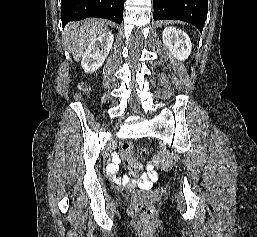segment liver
I'll use <instances>...</instances> for the list:
<instances>
[{
    "label": "liver",
    "instance_id": "1",
    "mask_svg": "<svg viewBox=\"0 0 257 237\" xmlns=\"http://www.w3.org/2000/svg\"><path fill=\"white\" fill-rule=\"evenodd\" d=\"M108 31L107 24L101 19H86L73 23L65 29L66 39L71 42V53L79 61L90 43Z\"/></svg>",
    "mask_w": 257,
    "mask_h": 237
}]
</instances>
